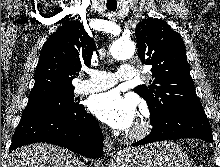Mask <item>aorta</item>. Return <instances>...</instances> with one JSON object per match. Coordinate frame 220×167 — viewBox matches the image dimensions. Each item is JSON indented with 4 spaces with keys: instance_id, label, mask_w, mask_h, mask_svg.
I'll list each match as a JSON object with an SVG mask.
<instances>
[{
    "instance_id": "aorta-1",
    "label": "aorta",
    "mask_w": 220,
    "mask_h": 167,
    "mask_svg": "<svg viewBox=\"0 0 220 167\" xmlns=\"http://www.w3.org/2000/svg\"><path fill=\"white\" fill-rule=\"evenodd\" d=\"M110 52L113 58L125 60L135 53V45L131 40H117L112 44Z\"/></svg>"
}]
</instances>
